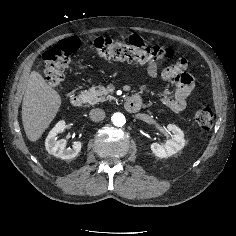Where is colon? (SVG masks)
Instances as JSON below:
<instances>
[{
  "instance_id": "5ec220e1",
  "label": "colon",
  "mask_w": 236,
  "mask_h": 236,
  "mask_svg": "<svg viewBox=\"0 0 236 236\" xmlns=\"http://www.w3.org/2000/svg\"><path fill=\"white\" fill-rule=\"evenodd\" d=\"M78 48V39L70 37L59 41L44 52V74L48 84L57 86L64 80L70 56ZM93 49L102 58L135 62L140 65L153 64L173 56V50L169 48L145 46L142 42L115 41L105 37L96 38L93 42ZM194 119L199 127L208 130L213 126V111L208 107L198 108L194 112Z\"/></svg>"
}]
</instances>
